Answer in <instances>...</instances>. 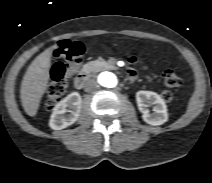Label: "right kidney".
I'll return each instance as SVG.
<instances>
[{
  "instance_id": "right-kidney-1",
  "label": "right kidney",
  "mask_w": 212,
  "mask_h": 183,
  "mask_svg": "<svg viewBox=\"0 0 212 183\" xmlns=\"http://www.w3.org/2000/svg\"><path fill=\"white\" fill-rule=\"evenodd\" d=\"M81 106L80 94L78 92L70 93L56 104L49 121L50 128L61 130L75 123L79 117Z\"/></svg>"
}]
</instances>
